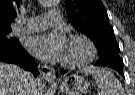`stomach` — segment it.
<instances>
[{"label":"stomach","mask_w":135,"mask_h":95,"mask_svg":"<svg viewBox=\"0 0 135 95\" xmlns=\"http://www.w3.org/2000/svg\"><path fill=\"white\" fill-rule=\"evenodd\" d=\"M88 88V81L79 74L67 76L60 84V90L65 95H85Z\"/></svg>","instance_id":"obj_1"}]
</instances>
